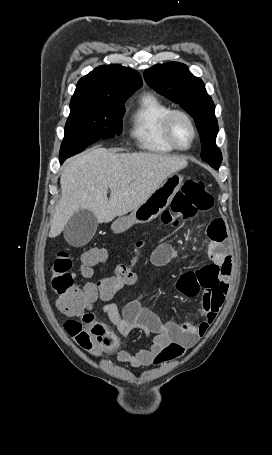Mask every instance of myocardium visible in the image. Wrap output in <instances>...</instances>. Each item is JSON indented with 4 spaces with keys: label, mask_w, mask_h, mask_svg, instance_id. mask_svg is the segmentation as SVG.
Masks as SVG:
<instances>
[{
    "label": "myocardium",
    "mask_w": 272,
    "mask_h": 455,
    "mask_svg": "<svg viewBox=\"0 0 272 455\" xmlns=\"http://www.w3.org/2000/svg\"><path fill=\"white\" fill-rule=\"evenodd\" d=\"M177 116L183 117L188 122V124L190 125V127L192 129V134H193L192 140H191L190 144L186 147H182V146L178 145L173 137L172 122H173L174 118ZM162 127H163V134H164L166 141L174 150L188 151L189 149L192 148V146L194 145V143L197 139V136H198V130H197L194 120L186 111H183L180 109H171L165 115V117L163 119Z\"/></svg>",
    "instance_id": "f54148a6"
}]
</instances>
